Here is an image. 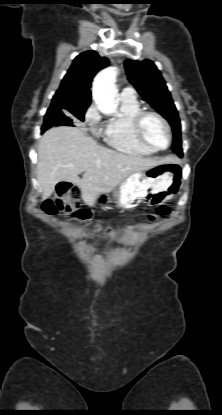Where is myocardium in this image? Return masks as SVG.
Segmentation results:
<instances>
[{
  "label": "myocardium",
  "instance_id": "1",
  "mask_svg": "<svg viewBox=\"0 0 222 415\" xmlns=\"http://www.w3.org/2000/svg\"><path fill=\"white\" fill-rule=\"evenodd\" d=\"M148 116H154L157 119H159L163 125L165 126V129L167 131L168 134V142L167 145L165 147H158L154 144H152L144 135V131H143V125H144V121ZM133 127H134V132L136 137L138 138V140L145 146H147L148 148H151L154 151H161V150H165L167 149L171 142H172V129L171 126L168 122V120L159 112L155 111V110H141L134 118L133 121Z\"/></svg>",
  "mask_w": 222,
  "mask_h": 415
}]
</instances>
